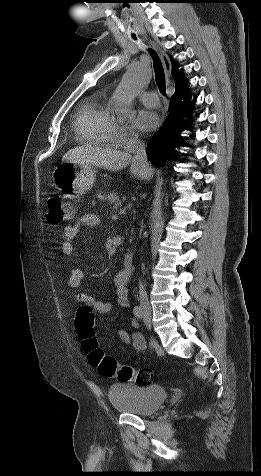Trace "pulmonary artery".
<instances>
[{
  "instance_id": "pulmonary-artery-1",
  "label": "pulmonary artery",
  "mask_w": 261,
  "mask_h": 476,
  "mask_svg": "<svg viewBox=\"0 0 261 476\" xmlns=\"http://www.w3.org/2000/svg\"><path fill=\"white\" fill-rule=\"evenodd\" d=\"M139 100L147 107H157L159 105L158 95L154 91H143L139 94Z\"/></svg>"
}]
</instances>
